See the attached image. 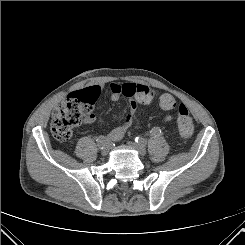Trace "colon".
<instances>
[{"instance_id": "1", "label": "colon", "mask_w": 245, "mask_h": 245, "mask_svg": "<svg viewBox=\"0 0 245 245\" xmlns=\"http://www.w3.org/2000/svg\"><path fill=\"white\" fill-rule=\"evenodd\" d=\"M99 95V88L94 86L71 93L53 111L51 120V132L59 141L68 140L73 129L80 125L90 112ZM153 98V93L148 87H139L136 91V99L141 104H148ZM177 127L183 138H190L194 131L192 119L187 108L178 106Z\"/></svg>"}]
</instances>
